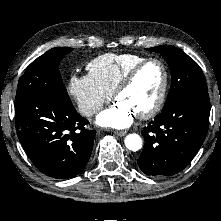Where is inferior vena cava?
I'll list each match as a JSON object with an SVG mask.
<instances>
[{"label": "inferior vena cava", "mask_w": 221, "mask_h": 221, "mask_svg": "<svg viewBox=\"0 0 221 221\" xmlns=\"http://www.w3.org/2000/svg\"><path fill=\"white\" fill-rule=\"evenodd\" d=\"M100 109H101V107L98 105L87 106L83 109V114L85 116H91V115L97 113Z\"/></svg>", "instance_id": "inferior-vena-cava-1"}]
</instances>
